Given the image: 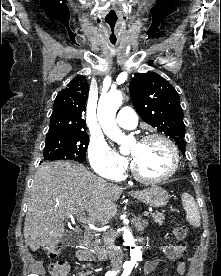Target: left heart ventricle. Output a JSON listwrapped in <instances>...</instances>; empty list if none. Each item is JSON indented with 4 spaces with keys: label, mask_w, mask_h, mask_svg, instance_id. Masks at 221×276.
Here are the masks:
<instances>
[{
    "label": "left heart ventricle",
    "mask_w": 221,
    "mask_h": 276,
    "mask_svg": "<svg viewBox=\"0 0 221 276\" xmlns=\"http://www.w3.org/2000/svg\"><path fill=\"white\" fill-rule=\"evenodd\" d=\"M130 154L140 172L148 177L166 174L172 166V155L168 146L161 140L133 143Z\"/></svg>",
    "instance_id": "1"
}]
</instances>
